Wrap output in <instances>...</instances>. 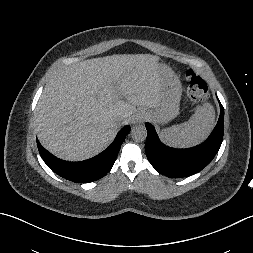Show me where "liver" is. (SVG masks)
Here are the masks:
<instances>
[{"label": "liver", "mask_w": 253, "mask_h": 253, "mask_svg": "<svg viewBox=\"0 0 253 253\" xmlns=\"http://www.w3.org/2000/svg\"><path fill=\"white\" fill-rule=\"evenodd\" d=\"M161 98L156 56L118 54L81 61L56 72L45 86L35 109V131L56 157L85 160L113 141L136 106L151 110Z\"/></svg>", "instance_id": "1"}]
</instances>
